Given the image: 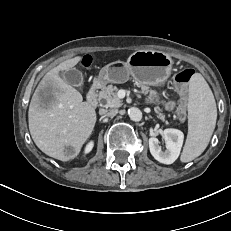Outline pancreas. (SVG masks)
<instances>
[{
    "mask_svg": "<svg viewBox=\"0 0 231 231\" xmlns=\"http://www.w3.org/2000/svg\"><path fill=\"white\" fill-rule=\"evenodd\" d=\"M144 95H148V98H152V96L156 95L157 92L151 90L148 86L144 84H136ZM118 88L113 85H108L103 87L101 91L98 93V100L101 102L103 107L105 108H118L122 105L121 99L117 95ZM154 111L156 113L157 118L165 121V115L163 110L159 106L154 107ZM168 124V122L166 121Z\"/></svg>",
    "mask_w": 231,
    "mask_h": 231,
    "instance_id": "obj_1",
    "label": "pancreas"
}]
</instances>
